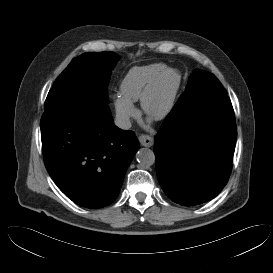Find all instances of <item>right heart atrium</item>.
I'll list each match as a JSON object with an SVG mask.
<instances>
[{"label":"right heart atrium","instance_id":"obj_1","mask_svg":"<svg viewBox=\"0 0 273 273\" xmlns=\"http://www.w3.org/2000/svg\"><path fill=\"white\" fill-rule=\"evenodd\" d=\"M114 108L117 118L124 124L129 123L130 119L138 116V110L134 104L122 96H115Z\"/></svg>","mask_w":273,"mask_h":273}]
</instances>
